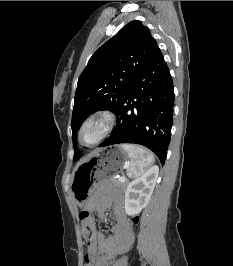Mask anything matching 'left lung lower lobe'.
Returning <instances> with one entry per match:
<instances>
[{"label": "left lung lower lobe", "instance_id": "1", "mask_svg": "<svg viewBox=\"0 0 233 266\" xmlns=\"http://www.w3.org/2000/svg\"><path fill=\"white\" fill-rule=\"evenodd\" d=\"M174 90L169 68L156 47L116 111L117 126L99 147L141 144L165 163L173 122Z\"/></svg>", "mask_w": 233, "mask_h": 266}]
</instances>
